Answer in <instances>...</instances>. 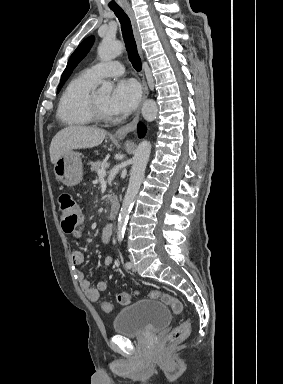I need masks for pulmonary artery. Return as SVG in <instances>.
Masks as SVG:
<instances>
[{
	"mask_svg": "<svg viewBox=\"0 0 283 384\" xmlns=\"http://www.w3.org/2000/svg\"><path fill=\"white\" fill-rule=\"evenodd\" d=\"M124 72V68L112 62H98L85 70V73L95 82L106 76H119Z\"/></svg>",
	"mask_w": 283,
	"mask_h": 384,
	"instance_id": "1",
	"label": "pulmonary artery"
}]
</instances>
